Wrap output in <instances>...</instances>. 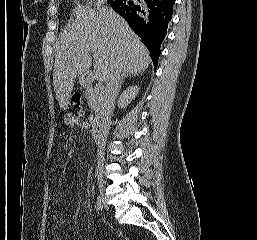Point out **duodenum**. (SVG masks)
<instances>
[{"label":"duodenum","mask_w":257,"mask_h":240,"mask_svg":"<svg viewBox=\"0 0 257 240\" xmlns=\"http://www.w3.org/2000/svg\"><path fill=\"white\" fill-rule=\"evenodd\" d=\"M92 135L95 144L98 147L102 146L107 136L106 125L100 120L96 121L93 126Z\"/></svg>","instance_id":"obj_1"}]
</instances>
